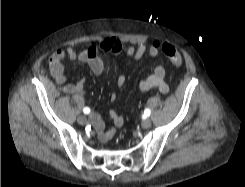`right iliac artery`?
Returning <instances> with one entry per match:
<instances>
[{
	"label": "right iliac artery",
	"mask_w": 245,
	"mask_h": 187,
	"mask_svg": "<svg viewBox=\"0 0 245 187\" xmlns=\"http://www.w3.org/2000/svg\"><path fill=\"white\" fill-rule=\"evenodd\" d=\"M83 112H84L85 114H89V113H90V109H89L88 107H85V108L83 109Z\"/></svg>",
	"instance_id": "right-iliac-artery-1"
}]
</instances>
